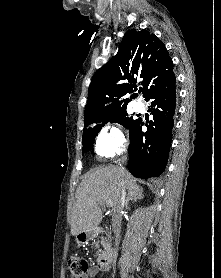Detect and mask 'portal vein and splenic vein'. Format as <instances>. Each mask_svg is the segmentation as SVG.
I'll return each instance as SVG.
<instances>
[{"instance_id":"portal-vein-and-splenic-vein-1","label":"portal vein and splenic vein","mask_w":221,"mask_h":278,"mask_svg":"<svg viewBox=\"0 0 221 278\" xmlns=\"http://www.w3.org/2000/svg\"><path fill=\"white\" fill-rule=\"evenodd\" d=\"M110 204H111V202H110V201H106V205H108V206H109Z\"/></svg>"}]
</instances>
